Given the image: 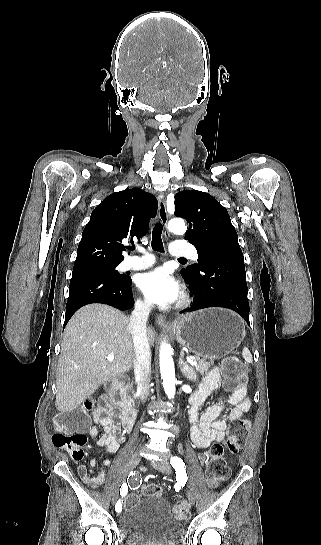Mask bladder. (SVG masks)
<instances>
[{"mask_svg":"<svg viewBox=\"0 0 321 545\" xmlns=\"http://www.w3.org/2000/svg\"><path fill=\"white\" fill-rule=\"evenodd\" d=\"M118 529L127 545H178L184 536L183 523L172 515L161 495L146 496L123 509Z\"/></svg>","mask_w":321,"mask_h":545,"instance_id":"1","label":"bladder"}]
</instances>
